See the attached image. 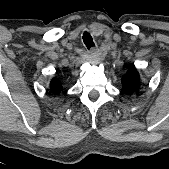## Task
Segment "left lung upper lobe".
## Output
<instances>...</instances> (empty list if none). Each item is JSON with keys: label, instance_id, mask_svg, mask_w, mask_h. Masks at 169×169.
<instances>
[{"label": "left lung upper lobe", "instance_id": "obj_1", "mask_svg": "<svg viewBox=\"0 0 169 169\" xmlns=\"http://www.w3.org/2000/svg\"><path fill=\"white\" fill-rule=\"evenodd\" d=\"M122 92L132 95L138 92L140 88V77L135 67H130L127 73L122 77Z\"/></svg>", "mask_w": 169, "mask_h": 169}]
</instances>
